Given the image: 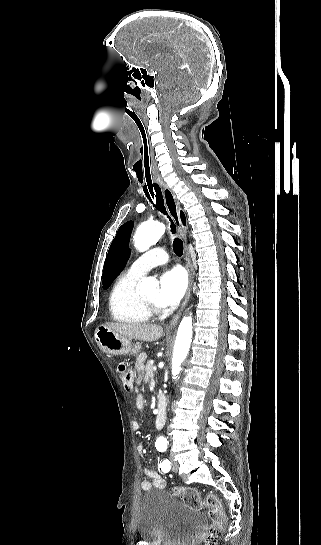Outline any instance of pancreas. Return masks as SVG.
Listing matches in <instances>:
<instances>
[{
	"label": "pancreas",
	"instance_id": "obj_1",
	"mask_svg": "<svg viewBox=\"0 0 321 545\" xmlns=\"http://www.w3.org/2000/svg\"><path fill=\"white\" fill-rule=\"evenodd\" d=\"M153 377H154V365L153 363H151V361H148L145 367V377H144L145 383H151Z\"/></svg>",
	"mask_w": 321,
	"mask_h": 545
}]
</instances>
